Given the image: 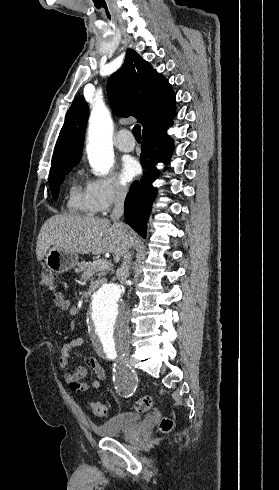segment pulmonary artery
<instances>
[{"label": "pulmonary artery", "instance_id": "obj_1", "mask_svg": "<svg viewBox=\"0 0 279 490\" xmlns=\"http://www.w3.org/2000/svg\"><path fill=\"white\" fill-rule=\"evenodd\" d=\"M130 131L128 128H118L117 135L115 138V145L117 148L125 153L131 152L136 145L135 137H128Z\"/></svg>", "mask_w": 279, "mask_h": 490}]
</instances>
